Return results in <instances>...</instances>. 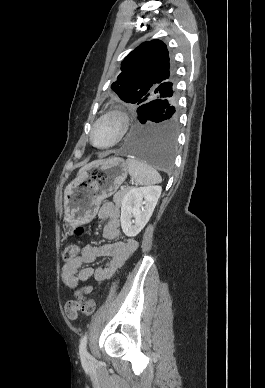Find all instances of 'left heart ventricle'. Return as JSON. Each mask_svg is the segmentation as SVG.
Returning <instances> with one entry per match:
<instances>
[{
    "label": "left heart ventricle",
    "mask_w": 265,
    "mask_h": 388,
    "mask_svg": "<svg viewBox=\"0 0 265 388\" xmlns=\"http://www.w3.org/2000/svg\"><path fill=\"white\" fill-rule=\"evenodd\" d=\"M116 122L113 118L103 121L95 130L93 140L96 144L109 143L115 136Z\"/></svg>",
    "instance_id": "left-heart-ventricle-1"
}]
</instances>
